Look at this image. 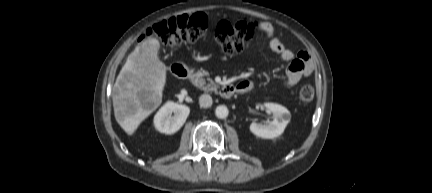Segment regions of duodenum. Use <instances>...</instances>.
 Returning a JSON list of instances; mask_svg holds the SVG:
<instances>
[{
  "label": "duodenum",
  "mask_w": 432,
  "mask_h": 193,
  "mask_svg": "<svg viewBox=\"0 0 432 193\" xmlns=\"http://www.w3.org/2000/svg\"><path fill=\"white\" fill-rule=\"evenodd\" d=\"M171 71L177 78L183 80H188L193 76V72L189 67L178 62L171 65ZM236 92L237 87L235 85H224L220 88V95L223 98H230Z\"/></svg>",
  "instance_id": "1"
}]
</instances>
